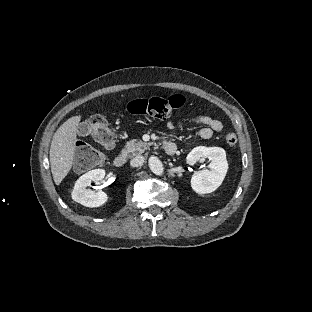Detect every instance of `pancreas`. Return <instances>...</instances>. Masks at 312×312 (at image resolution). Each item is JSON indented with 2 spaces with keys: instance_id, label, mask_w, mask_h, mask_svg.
Returning a JSON list of instances; mask_svg holds the SVG:
<instances>
[{
  "instance_id": "cf45deb5",
  "label": "pancreas",
  "mask_w": 312,
  "mask_h": 312,
  "mask_svg": "<svg viewBox=\"0 0 312 312\" xmlns=\"http://www.w3.org/2000/svg\"><path fill=\"white\" fill-rule=\"evenodd\" d=\"M152 143H146L141 140L133 139L127 142L125 148L121 151L122 155L125 157L131 158L135 155H139L144 153V151L148 148Z\"/></svg>"
}]
</instances>
